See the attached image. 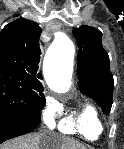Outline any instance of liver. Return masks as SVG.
<instances>
[{
  "mask_svg": "<svg viewBox=\"0 0 124 149\" xmlns=\"http://www.w3.org/2000/svg\"><path fill=\"white\" fill-rule=\"evenodd\" d=\"M40 147H53L56 149H85L80 143L60 138L53 134L34 133L16 138L7 142L0 149H40Z\"/></svg>",
  "mask_w": 124,
  "mask_h": 149,
  "instance_id": "1",
  "label": "liver"
}]
</instances>
